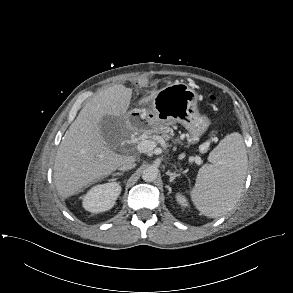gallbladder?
Wrapping results in <instances>:
<instances>
[{"label": "gallbladder", "mask_w": 293, "mask_h": 293, "mask_svg": "<svg viewBox=\"0 0 293 293\" xmlns=\"http://www.w3.org/2000/svg\"><path fill=\"white\" fill-rule=\"evenodd\" d=\"M101 133L107 143L113 145L119 141L120 121L114 116H104L100 122Z\"/></svg>", "instance_id": "bac80fb5"}]
</instances>
